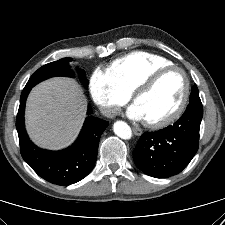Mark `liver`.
<instances>
[{
	"label": "liver",
	"instance_id": "liver-1",
	"mask_svg": "<svg viewBox=\"0 0 225 225\" xmlns=\"http://www.w3.org/2000/svg\"><path fill=\"white\" fill-rule=\"evenodd\" d=\"M86 108V97L75 80L55 77L43 81L32 89L27 99V132L42 148H64L77 137Z\"/></svg>",
	"mask_w": 225,
	"mask_h": 225
}]
</instances>
